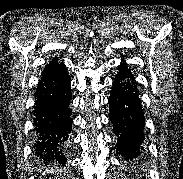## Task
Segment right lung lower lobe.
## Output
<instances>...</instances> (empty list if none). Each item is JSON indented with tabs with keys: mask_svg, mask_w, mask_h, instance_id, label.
I'll list each match as a JSON object with an SVG mask.
<instances>
[{
	"mask_svg": "<svg viewBox=\"0 0 183 179\" xmlns=\"http://www.w3.org/2000/svg\"><path fill=\"white\" fill-rule=\"evenodd\" d=\"M70 78L63 63L42 71L34 105V154L46 161L66 163L65 150L72 130Z\"/></svg>",
	"mask_w": 183,
	"mask_h": 179,
	"instance_id": "obj_1",
	"label": "right lung lower lobe"
}]
</instances>
